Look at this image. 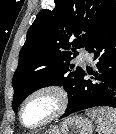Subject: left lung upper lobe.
Wrapping results in <instances>:
<instances>
[{"label":"left lung upper lobe","mask_w":116,"mask_h":134,"mask_svg":"<svg viewBox=\"0 0 116 134\" xmlns=\"http://www.w3.org/2000/svg\"><path fill=\"white\" fill-rule=\"evenodd\" d=\"M115 5L113 0H55L54 8L37 15L12 80L14 111L29 94L47 86H63L69 101L74 97L83 69L70 62L78 48L88 47Z\"/></svg>","instance_id":"1"}]
</instances>
